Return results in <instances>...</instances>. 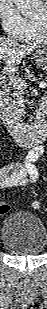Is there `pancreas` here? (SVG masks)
<instances>
[{"instance_id":"obj_1","label":"pancreas","mask_w":47,"mask_h":309,"mask_svg":"<svg viewBox=\"0 0 47 309\" xmlns=\"http://www.w3.org/2000/svg\"><path fill=\"white\" fill-rule=\"evenodd\" d=\"M24 89H21L20 92L23 93ZM25 114V111L23 109H19L17 110V112L15 113L16 117L18 120H21V117H23Z\"/></svg>"}]
</instances>
